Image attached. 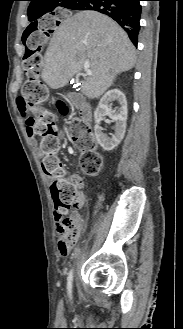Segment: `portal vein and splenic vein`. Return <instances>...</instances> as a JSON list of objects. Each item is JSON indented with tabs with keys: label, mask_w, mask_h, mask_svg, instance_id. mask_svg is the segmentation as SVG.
<instances>
[{
	"label": "portal vein and splenic vein",
	"mask_w": 183,
	"mask_h": 329,
	"mask_svg": "<svg viewBox=\"0 0 183 329\" xmlns=\"http://www.w3.org/2000/svg\"><path fill=\"white\" fill-rule=\"evenodd\" d=\"M84 70L87 75H92V72L89 70V65H86Z\"/></svg>",
	"instance_id": "1"
}]
</instances>
